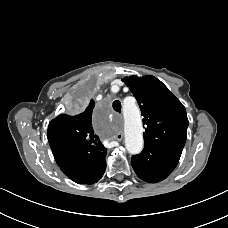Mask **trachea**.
I'll list each match as a JSON object with an SVG mask.
<instances>
[{
	"mask_svg": "<svg viewBox=\"0 0 228 228\" xmlns=\"http://www.w3.org/2000/svg\"><path fill=\"white\" fill-rule=\"evenodd\" d=\"M113 109L114 111L121 113V102L119 100L113 102Z\"/></svg>",
	"mask_w": 228,
	"mask_h": 228,
	"instance_id": "1",
	"label": "trachea"
}]
</instances>
